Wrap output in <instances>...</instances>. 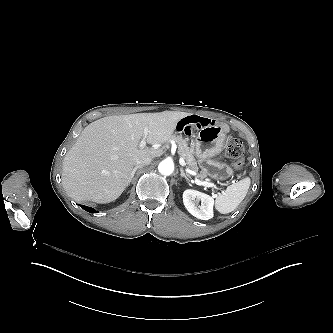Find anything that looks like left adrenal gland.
Segmentation results:
<instances>
[{
	"instance_id": "left-adrenal-gland-1",
	"label": "left adrenal gland",
	"mask_w": 333,
	"mask_h": 333,
	"mask_svg": "<svg viewBox=\"0 0 333 333\" xmlns=\"http://www.w3.org/2000/svg\"><path fill=\"white\" fill-rule=\"evenodd\" d=\"M189 175L185 173V170L182 168L181 169V178H185L188 182H190V179L188 177Z\"/></svg>"
}]
</instances>
